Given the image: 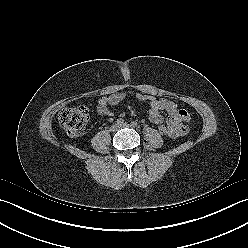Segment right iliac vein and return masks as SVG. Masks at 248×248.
I'll use <instances>...</instances> for the list:
<instances>
[{"mask_svg":"<svg viewBox=\"0 0 248 248\" xmlns=\"http://www.w3.org/2000/svg\"><path fill=\"white\" fill-rule=\"evenodd\" d=\"M119 128H120V125H119V124H113V125L110 127V131H111V132H116Z\"/></svg>","mask_w":248,"mask_h":248,"instance_id":"right-iliac-vein-1","label":"right iliac vein"}]
</instances>
